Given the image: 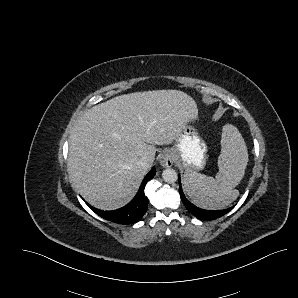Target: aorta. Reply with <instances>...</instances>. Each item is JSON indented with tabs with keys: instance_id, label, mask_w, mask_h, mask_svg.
Wrapping results in <instances>:
<instances>
[{
	"instance_id": "1",
	"label": "aorta",
	"mask_w": 298,
	"mask_h": 298,
	"mask_svg": "<svg viewBox=\"0 0 298 298\" xmlns=\"http://www.w3.org/2000/svg\"><path fill=\"white\" fill-rule=\"evenodd\" d=\"M162 179L168 184L175 183L178 180V173L173 168H167L162 171Z\"/></svg>"
}]
</instances>
